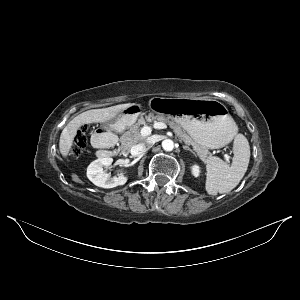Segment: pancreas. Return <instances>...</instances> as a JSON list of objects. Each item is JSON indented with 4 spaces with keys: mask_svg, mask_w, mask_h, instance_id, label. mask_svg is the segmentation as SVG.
I'll use <instances>...</instances> for the list:
<instances>
[{
    "mask_svg": "<svg viewBox=\"0 0 300 300\" xmlns=\"http://www.w3.org/2000/svg\"><path fill=\"white\" fill-rule=\"evenodd\" d=\"M148 122H156L160 121L163 123H167L170 128L174 130L176 135L180 137L183 141L191 145L194 150L197 152L199 158L205 163L208 162L212 155L211 153L204 147L199 145L196 141H194L187 133L183 131L180 125L176 124L173 120H170L163 116H148L146 118ZM145 124V120L141 119L137 124L133 125L129 131L125 132L120 137V150L125 152L129 150L133 145L145 141L146 137L141 134L140 125Z\"/></svg>",
    "mask_w": 300,
    "mask_h": 300,
    "instance_id": "obj_1",
    "label": "pancreas"
}]
</instances>
